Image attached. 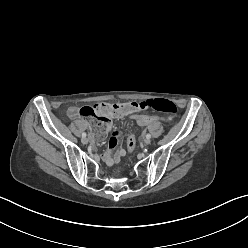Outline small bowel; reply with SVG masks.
Segmentation results:
<instances>
[{"instance_id": "c3829d8e", "label": "small bowel", "mask_w": 248, "mask_h": 248, "mask_svg": "<svg viewBox=\"0 0 248 248\" xmlns=\"http://www.w3.org/2000/svg\"><path fill=\"white\" fill-rule=\"evenodd\" d=\"M79 110H80V108H78V107H70L67 110V115L72 119L79 118L80 117ZM131 113H136V112L135 111H128L124 116L129 117V115ZM118 118H120V117H118ZM109 127L111 128V123L109 124ZM121 137H122V134L119 130H117V129L112 130L111 136L109 139V143H108V148L105 151V153L103 154V159H104L105 163L107 164V166H109V167L113 166L114 164L119 163L121 157H123L126 153V150L123 147H120L117 150H115L118 143H120V141H121Z\"/></svg>"}]
</instances>
